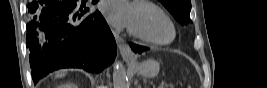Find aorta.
Returning <instances> with one entry per match:
<instances>
[{
	"label": "aorta",
	"mask_w": 267,
	"mask_h": 88,
	"mask_svg": "<svg viewBox=\"0 0 267 88\" xmlns=\"http://www.w3.org/2000/svg\"><path fill=\"white\" fill-rule=\"evenodd\" d=\"M113 86L114 88H129L126 69L119 60H115L113 65Z\"/></svg>",
	"instance_id": "1"
}]
</instances>
